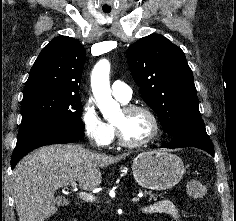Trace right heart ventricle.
I'll list each match as a JSON object with an SVG mask.
<instances>
[{"mask_svg":"<svg viewBox=\"0 0 236 221\" xmlns=\"http://www.w3.org/2000/svg\"><path fill=\"white\" fill-rule=\"evenodd\" d=\"M108 124H109V126L111 127V129H112V132H113V137H114V134H115L114 127H113V125H112V124H110V123H108Z\"/></svg>","mask_w":236,"mask_h":221,"instance_id":"e07e8e85","label":"right heart ventricle"}]
</instances>
